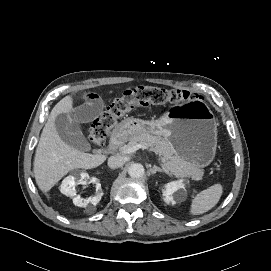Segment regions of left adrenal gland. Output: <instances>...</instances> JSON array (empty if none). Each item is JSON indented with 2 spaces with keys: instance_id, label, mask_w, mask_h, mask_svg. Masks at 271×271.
<instances>
[{
  "instance_id": "obj_1",
  "label": "left adrenal gland",
  "mask_w": 271,
  "mask_h": 271,
  "mask_svg": "<svg viewBox=\"0 0 271 271\" xmlns=\"http://www.w3.org/2000/svg\"><path fill=\"white\" fill-rule=\"evenodd\" d=\"M150 172L152 175L156 174L157 172H163V170L161 168H159L158 166H153L152 168H150Z\"/></svg>"
}]
</instances>
